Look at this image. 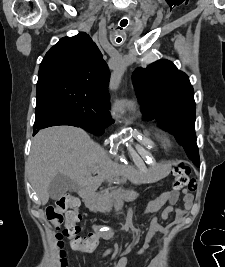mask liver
<instances>
[{
  "instance_id": "1",
  "label": "liver",
  "mask_w": 225,
  "mask_h": 267,
  "mask_svg": "<svg viewBox=\"0 0 225 267\" xmlns=\"http://www.w3.org/2000/svg\"><path fill=\"white\" fill-rule=\"evenodd\" d=\"M127 170L113 163L84 130L73 126L40 130L26 162L29 180L42 205L47 204L49 184L58 174L67 176L82 190ZM96 173L94 179L92 175Z\"/></svg>"
}]
</instances>
